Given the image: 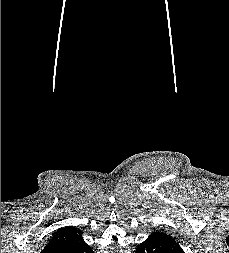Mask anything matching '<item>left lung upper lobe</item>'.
<instances>
[{"instance_id": "left-lung-upper-lobe-1", "label": "left lung upper lobe", "mask_w": 229, "mask_h": 253, "mask_svg": "<svg viewBox=\"0 0 229 253\" xmlns=\"http://www.w3.org/2000/svg\"><path fill=\"white\" fill-rule=\"evenodd\" d=\"M149 237H154V238H171L170 235L164 234V233L159 232V231L151 233V235Z\"/></svg>"}]
</instances>
